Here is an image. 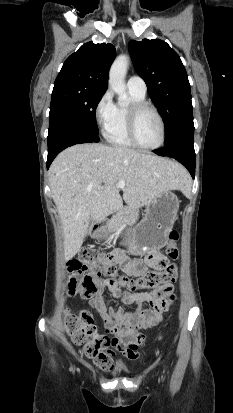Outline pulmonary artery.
<instances>
[{"instance_id": "pulmonary-artery-1", "label": "pulmonary artery", "mask_w": 233, "mask_h": 413, "mask_svg": "<svg viewBox=\"0 0 233 413\" xmlns=\"http://www.w3.org/2000/svg\"><path fill=\"white\" fill-rule=\"evenodd\" d=\"M127 88L129 91L135 92L142 96H145L147 93V86L145 81L137 75H132L128 78Z\"/></svg>"}]
</instances>
